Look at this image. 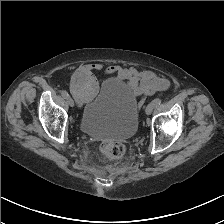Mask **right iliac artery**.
<instances>
[{
	"instance_id": "82829eb1",
	"label": "right iliac artery",
	"mask_w": 224,
	"mask_h": 224,
	"mask_svg": "<svg viewBox=\"0 0 224 224\" xmlns=\"http://www.w3.org/2000/svg\"><path fill=\"white\" fill-rule=\"evenodd\" d=\"M61 95H62V97L65 98V99L69 97V94H68L66 91H62V92H61Z\"/></svg>"
}]
</instances>
